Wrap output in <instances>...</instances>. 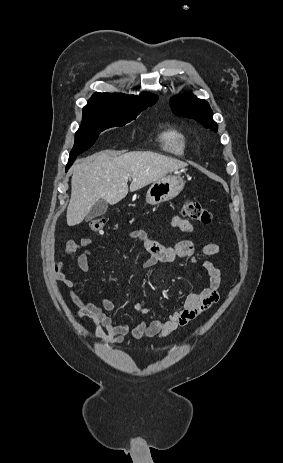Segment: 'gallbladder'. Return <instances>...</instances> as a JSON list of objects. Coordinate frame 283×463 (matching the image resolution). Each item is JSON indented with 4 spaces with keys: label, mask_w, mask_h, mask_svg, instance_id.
Segmentation results:
<instances>
[{
    "label": "gallbladder",
    "mask_w": 283,
    "mask_h": 463,
    "mask_svg": "<svg viewBox=\"0 0 283 463\" xmlns=\"http://www.w3.org/2000/svg\"><path fill=\"white\" fill-rule=\"evenodd\" d=\"M107 209H108V203L105 200L100 199L94 204L91 210L87 213L85 220L90 221L96 217L102 216L106 213Z\"/></svg>",
    "instance_id": "obj_1"
}]
</instances>
